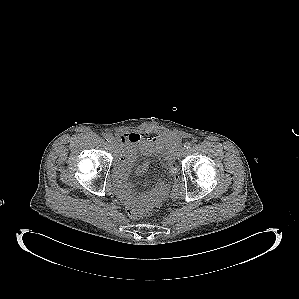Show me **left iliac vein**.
I'll return each instance as SVG.
<instances>
[{
    "mask_svg": "<svg viewBox=\"0 0 299 299\" xmlns=\"http://www.w3.org/2000/svg\"><path fill=\"white\" fill-rule=\"evenodd\" d=\"M186 153V148L185 147H180L179 150H178V157H182L184 156Z\"/></svg>",
    "mask_w": 299,
    "mask_h": 299,
    "instance_id": "1",
    "label": "left iliac vein"
}]
</instances>
